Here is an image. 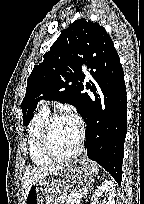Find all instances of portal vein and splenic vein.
I'll use <instances>...</instances> for the list:
<instances>
[{
  "label": "portal vein and splenic vein",
  "mask_w": 144,
  "mask_h": 204,
  "mask_svg": "<svg viewBox=\"0 0 144 204\" xmlns=\"http://www.w3.org/2000/svg\"><path fill=\"white\" fill-rule=\"evenodd\" d=\"M82 195L81 194H77V200L80 201Z\"/></svg>",
  "instance_id": "1"
}]
</instances>
